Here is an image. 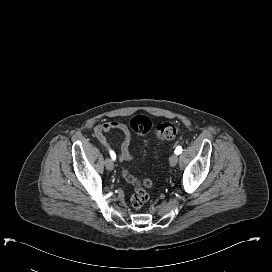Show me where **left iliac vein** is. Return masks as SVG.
<instances>
[{"mask_svg": "<svg viewBox=\"0 0 272 272\" xmlns=\"http://www.w3.org/2000/svg\"><path fill=\"white\" fill-rule=\"evenodd\" d=\"M178 162V156L176 154H172L170 159H169V163L172 167L176 166Z\"/></svg>", "mask_w": 272, "mask_h": 272, "instance_id": "1", "label": "left iliac vein"}]
</instances>
